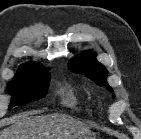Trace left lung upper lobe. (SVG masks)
<instances>
[{"label":"left lung upper lobe","mask_w":141,"mask_h":139,"mask_svg":"<svg viewBox=\"0 0 141 139\" xmlns=\"http://www.w3.org/2000/svg\"><path fill=\"white\" fill-rule=\"evenodd\" d=\"M69 68L72 72L84 74L99 86L105 85L109 91H113L106 81L108 71L96 60L95 54H90L89 51L84 52L70 61Z\"/></svg>","instance_id":"obj_1"}]
</instances>
